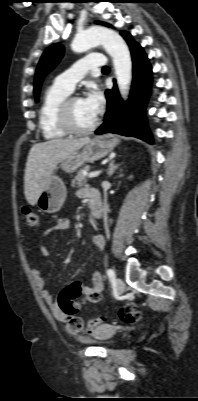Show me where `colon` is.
<instances>
[{
    "instance_id": "colon-1",
    "label": "colon",
    "mask_w": 198,
    "mask_h": 401,
    "mask_svg": "<svg viewBox=\"0 0 198 401\" xmlns=\"http://www.w3.org/2000/svg\"><path fill=\"white\" fill-rule=\"evenodd\" d=\"M23 215L25 219V223L28 227H38L39 225V215L38 213L28 207L23 208ZM76 292V282L71 283L68 287H66L61 293L59 297V306L61 310L69 315L76 314L78 312L77 306L72 302ZM140 312L136 309L135 305L130 303L122 306L119 310V318L125 324H132L137 322L140 319ZM106 318L99 317L94 321L96 323L102 324L104 323ZM90 321H85L82 318L78 319L79 326H84Z\"/></svg>"
}]
</instances>
